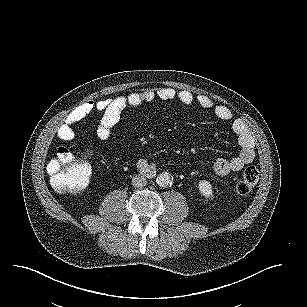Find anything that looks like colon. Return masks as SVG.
Listing matches in <instances>:
<instances>
[{
  "label": "colon",
  "mask_w": 307,
  "mask_h": 307,
  "mask_svg": "<svg viewBox=\"0 0 307 307\" xmlns=\"http://www.w3.org/2000/svg\"><path fill=\"white\" fill-rule=\"evenodd\" d=\"M51 185L58 193L80 194L89 186L91 169L84 156L69 148H59L48 165ZM259 171L255 166L247 167L236 182V191L247 194L258 182Z\"/></svg>",
  "instance_id": "1"
}]
</instances>
